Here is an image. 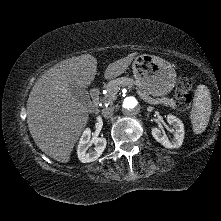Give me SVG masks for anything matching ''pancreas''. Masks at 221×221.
I'll return each instance as SVG.
<instances>
[{"label": "pancreas", "mask_w": 221, "mask_h": 221, "mask_svg": "<svg viewBox=\"0 0 221 221\" xmlns=\"http://www.w3.org/2000/svg\"><path fill=\"white\" fill-rule=\"evenodd\" d=\"M122 86H128L130 88H135V89H137V93L139 95H144V96L148 97L147 92L143 91L142 88L136 83V81H134L131 78L121 77V78H117L115 80L110 81L106 85V90H107V94L105 95L106 102L112 103L116 99V94H117L118 90L120 89V87H122ZM156 101H158L159 103H161L165 106H169L172 108L177 107L176 102L171 98L162 97V98L156 99Z\"/></svg>", "instance_id": "cf45deb5"}]
</instances>
